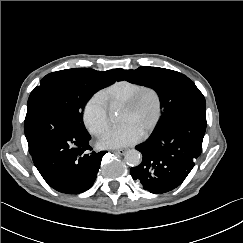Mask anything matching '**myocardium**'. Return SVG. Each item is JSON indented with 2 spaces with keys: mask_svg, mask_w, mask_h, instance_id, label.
<instances>
[{
  "mask_svg": "<svg viewBox=\"0 0 243 243\" xmlns=\"http://www.w3.org/2000/svg\"><path fill=\"white\" fill-rule=\"evenodd\" d=\"M146 93H151L154 95L157 103V111L155 118L152 122V124L148 127V129L143 133L144 136L150 135L158 126L162 113H163V100L160 92L153 86L149 85H143L141 88H139L134 95L126 102L124 103L123 107L127 110H135L138 108L143 96Z\"/></svg>",
  "mask_w": 243,
  "mask_h": 243,
  "instance_id": "myocardium-1",
  "label": "myocardium"
}]
</instances>
